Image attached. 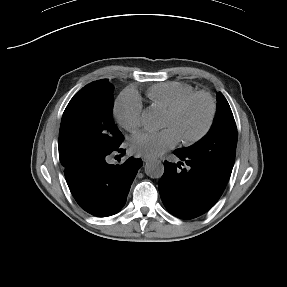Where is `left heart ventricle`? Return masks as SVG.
<instances>
[{
    "label": "left heart ventricle",
    "mask_w": 287,
    "mask_h": 287,
    "mask_svg": "<svg viewBox=\"0 0 287 287\" xmlns=\"http://www.w3.org/2000/svg\"><path fill=\"white\" fill-rule=\"evenodd\" d=\"M208 107L202 98L191 101L179 114L165 115L162 126L173 128L179 138L190 137L197 134L205 125Z\"/></svg>",
    "instance_id": "b2bd125f"
}]
</instances>
